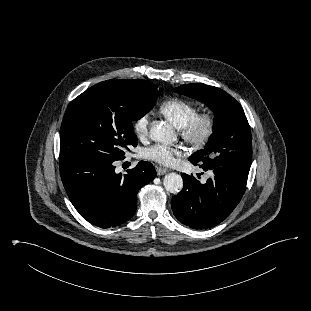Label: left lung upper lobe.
Returning <instances> with one entry per match:
<instances>
[{
	"label": "left lung upper lobe",
	"instance_id": "5c2ea615",
	"mask_svg": "<svg viewBox=\"0 0 311 311\" xmlns=\"http://www.w3.org/2000/svg\"><path fill=\"white\" fill-rule=\"evenodd\" d=\"M175 92L197 99L214 112L213 133L205 149L189 157L194 165L220 166L249 170L252 161L251 131L241 105L217 87L193 83L179 86Z\"/></svg>",
	"mask_w": 311,
	"mask_h": 311
}]
</instances>
